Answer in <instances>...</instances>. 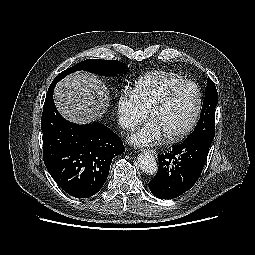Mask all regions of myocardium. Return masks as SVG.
<instances>
[{"mask_svg":"<svg viewBox=\"0 0 255 255\" xmlns=\"http://www.w3.org/2000/svg\"><path fill=\"white\" fill-rule=\"evenodd\" d=\"M188 85L194 86L197 90V94H198L197 106H196L195 112H194L191 120L189 121V123L186 125L185 128H183L181 131H179L176 134H171V135L165 136V139L170 143H175V142H179V141L183 140L194 129V127L200 117V114L202 111V106H203V96H202V91H201L200 87L193 81L185 80L182 83L171 88L169 91H167L160 98V100L150 109V111L148 113V117L151 118L155 113L162 110L178 91H180L182 88H184L185 86H188Z\"/></svg>","mask_w":255,"mask_h":255,"instance_id":"f54148a6","label":"myocardium"}]
</instances>
